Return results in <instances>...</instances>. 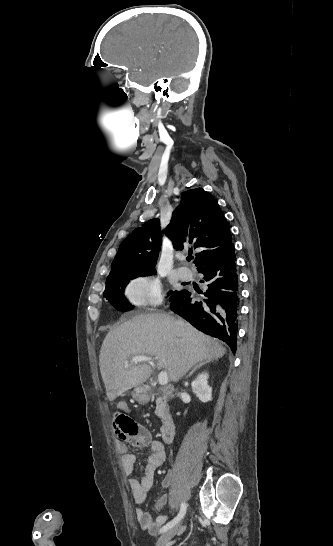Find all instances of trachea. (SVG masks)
I'll return each instance as SVG.
<instances>
[{
	"mask_svg": "<svg viewBox=\"0 0 333 546\" xmlns=\"http://www.w3.org/2000/svg\"><path fill=\"white\" fill-rule=\"evenodd\" d=\"M192 259H193L192 256H188V257H187V261H191Z\"/></svg>",
	"mask_w": 333,
	"mask_h": 546,
	"instance_id": "obj_1",
	"label": "trachea"
}]
</instances>
